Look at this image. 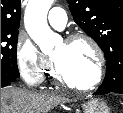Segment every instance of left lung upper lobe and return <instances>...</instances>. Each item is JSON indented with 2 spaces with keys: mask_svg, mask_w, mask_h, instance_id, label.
Returning a JSON list of instances; mask_svg holds the SVG:
<instances>
[{
  "mask_svg": "<svg viewBox=\"0 0 123 113\" xmlns=\"http://www.w3.org/2000/svg\"><path fill=\"white\" fill-rule=\"evenodd\" d=\"M77 25L103 50L107 72L101 87H123V0H67Z\"/></svg>",
  "mask_w": 123,
  "mask_h": 113,
  "instance_id": "5c2ea615",
  "label": "left lung upper lobe"
}]
</instances>
